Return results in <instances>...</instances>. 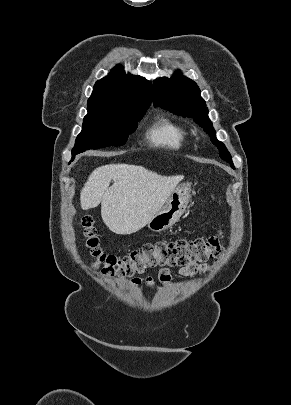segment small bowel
<instances>
[{"mask_svg": "<svg viewBox=\"0 0 291 405\" xmlns=\"http://www.w3.org/2000/svg\"><path fill=\"white\" fill-rule=\"evenodd\" d=\"M207 263H193L186 267H181L179 269V274L181 276H191L199 272H205L209 269ZM132 285H141L147 284L152 289H159L161 286H169L171 284V273L169 269H162L157 277V280L148 276V277H136L131 280Z\"/></svg>", "mask_w": 291, "mask_h": 405, "instance_id": "c3829d8e", "label": "small bowel"}]
</instances>
